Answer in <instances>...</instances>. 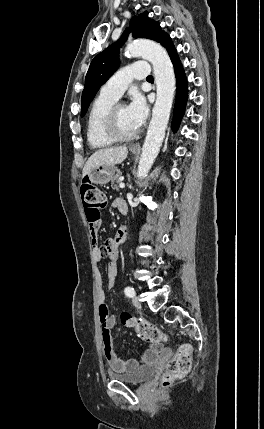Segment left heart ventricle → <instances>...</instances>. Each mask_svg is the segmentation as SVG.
Masks as SVG:
<instances>
[{
  "instance_id": "b2bd125f",
  "label": "left heart ventricle",
  "mask_w": 264,
  "mask_h": 429,
  "mask_svg": "<svg viewBox=\"0 0 264 429\" xmlns=\"http://www.w3.org/2000/svg\"><path fill=\"white\" fill-rule=\"evenodd\" d=\"M117 121L121 132L124 134H132L138 129L136 124L130 118L126 106L119 107L117 111Z\"/></svg>"
}]
</instances>
